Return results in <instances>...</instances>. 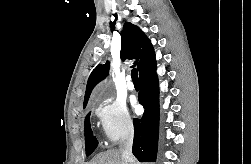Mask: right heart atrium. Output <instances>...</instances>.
I'll list each match as a JSON object with an SVG mask.
<instances>
[{
  "label": "right heart atrium",
  "instance_id": "right-heart-atrium-1",
  "mask_svg": "<svg viewBox=\"0 0 251 164\" xmlns=\"http://www.w3.org/2000/svg\"><path fill=\"white\" fill-rule=\"evenodd\" d=\"M95 114L104 137L111 143L118 142L133 131V121L126 105L112 96L101 100Z\"/></svg>",
  "mask_w": 251,
  "mask_h": 164
}]
</instances>
